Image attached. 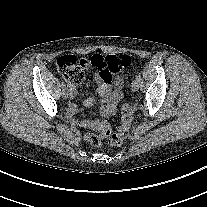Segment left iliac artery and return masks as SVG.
I'll return each mask as SVG.
<instances>
[{
	"label": "left iliac artery",
	"instance_id": "44dca946",
	"mask_svg": "<svg viewBox=\"0 0 207 207\" xmlns=\"http://www.w3.org/2000/svg\"><path fill=\"white\" fill-rule=\"evenodd\" d=\"M135 79H136L137 81H139V80L141 79V74H140V73L137 74Z\"/></svg>",
	"mask_w": 207,
	"mask_h": 207
}]
</instances>
